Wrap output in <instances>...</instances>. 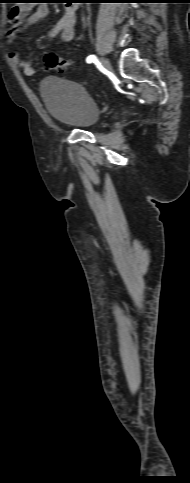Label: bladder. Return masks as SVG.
I'll use <instances>...</instances> for the list:
<instances>
[{
  "label": "bladder",
  "mask_w": 190,
  "mask_h": 483,
  "mask_svg": "<svg viewBox=\"0 0 190 483\" xmlns=\"http://www.w3.org/2000/svg\"><path fill=\"white\" fill-rule=\"evenodd\" d=\"M39 92L50 116L67 127L90 129L100 118L96 102L78 83L51 76L42 81Z\"/></svg>",
  "instance_id": "bladder-1"
}]
</instances>
